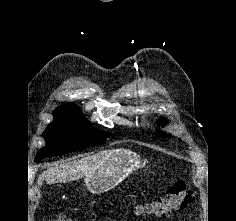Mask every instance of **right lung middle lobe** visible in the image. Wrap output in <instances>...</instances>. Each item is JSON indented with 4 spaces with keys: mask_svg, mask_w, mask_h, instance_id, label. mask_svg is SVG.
I'll return each mask as SVG.
<instances>
[{
    "mask_svg": "<svg viewBox=\"0 0 236 221\" xmlns=\"http://www.w3.org/2000/svg\"><path fill=\"white\" fill-rule=\"evenodd\" d=\"M54 120L43 133L46 146L40 149L35 161L46 156H58L105 143L109 134L95 129L77 110L56 108Z\"/></svg>",
    "mask_w": 236,
    "mask_h": 221,
    "instance_id": "right-lung-middle-lobe-1",
    "label": "right lung middle lobe"
}]
</instances>
